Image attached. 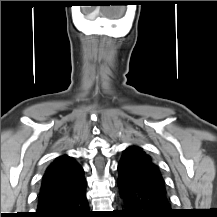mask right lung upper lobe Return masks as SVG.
Segmentation results:
<instances>
[{"instance_id":"cb5924a9","label":"right lung upper lobe","mask_w":217,"mask_h":217,"mask_svg":"<svg viewBox=\"0 0 217 217\" xmlns=\"http://www.w3.org/2000/svg\"><path fill=\"white\" fill-rule=\"evenodd\" d=\"M82 167L71 157H58L46 170L38 206L78 194L86 189Z\"/></svg>"}]
</instances>
